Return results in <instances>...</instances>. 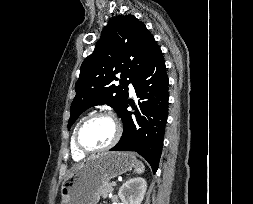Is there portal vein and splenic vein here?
Instances as JSON below:
<instances>
[{"mask_svg":"<svg viewBox=\"0 0 253 204\" xmlns=\"http://www.w3.org/2000/svg\"><path fill=\"white\" fill-rule=\"evenodd\" d=\"M111 184H112V186H116V182L115 181H113Z\"/></svg>","mask_w":253,"mask_h":204,"instance_id":"obj_1","label":"portal vein and splenic vein"}]
</instances>
